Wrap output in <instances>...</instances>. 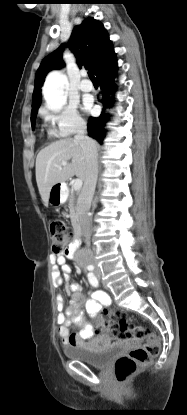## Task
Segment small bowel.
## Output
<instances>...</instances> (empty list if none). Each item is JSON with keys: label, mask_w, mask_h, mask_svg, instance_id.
<instances>
[{"label": "small bowel", "mask_w": 187, "mask_h": 415, "mask_svg": "<svg viewBox=\"0 0 187 415\" xmlns=\"http://www.w3.org/2000/svg\"><path fill=\"white\" fill-rule=\"evenodd\" d=\"M67 255L62 253L52 257L55 265L53 278L56 286H60L64 282L60 271L65 276L71 271L70 266L66 262ZM67 291L70 293V300L66 308L64 297L62 295L57 296V309L59 311L57 322L62 343L66 346L83 347L93 352L103 351L108 348L114 342L113 338L107 334L95 335L92 323L85 320L81 309L84 307L91 318H96L98 310L102 306L109 304L108 295L104 291L98 290L92 292L91 297L86 299L82 286L76 282L70 283ZM72 325L79 326L80 330L72 333Z\"/></svg>", "instance_id": "small-bowel-1"}]
</instances>
